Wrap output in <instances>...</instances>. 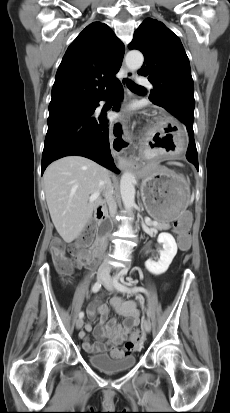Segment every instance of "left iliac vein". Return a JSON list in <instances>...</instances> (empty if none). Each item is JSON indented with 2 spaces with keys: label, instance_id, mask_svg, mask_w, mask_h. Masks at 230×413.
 I'll return each mask as SVG.
<instances>
[{
  "label": "left iliac vein",
  "instance_id": "1",
  "mask_svg": "<svg viewBox=\"0 0 230 413\" xmlns=\"http://www.w3.org/2000/svg\"><path fill=\"white\" fill-rule=\"evenodd\" d=\"M103 286L108 290V291H114V285L112 282V279L110 276H107L105 278V280L103 281ZM143 328L146 332H150L151 331V322L149 319H145L143 321Z\"/></svg>",
  "mask_w": 230,
  "mask_h": 413
}]
</instances>
